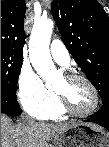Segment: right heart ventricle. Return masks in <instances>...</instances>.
<instances>
[{
  "mask_svg": "<svg viewBox=\"0 0 109 147\" xmlns=\"http://www.w3.org/2000/svg\"><path fill=\"white\" fill-rule=\"evenodd\" d=\"M56 104L48 109L42 110L34 116L43 120H59L67 117L68 113L61 107L59 100L56 98Z\"/></svg>",
  "mask_w": 109,
  "mask_h": 147,
  "instance_id": "obj_1",
  "label": "right heart ventricle"
}]
</instances>
